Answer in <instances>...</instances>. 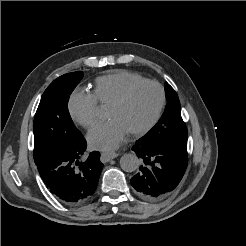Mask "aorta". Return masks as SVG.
<instances>
[{
    "instance_id": "obj_1",
    "label": "aorta",
    "mask_w": 246,
    "mask_h": 246,
    "mask_svg": "<svg viewBox=\"0 0 246 246\" xmlns=\"http://www.w3.org/2000/svg\"><path fill=\"white\" fill-rule=\"evenodd\" d=\"M140 162L135 154H124L120 159V166L125 172H133L138 169Z\"/></svg>"
}]
</instances>
